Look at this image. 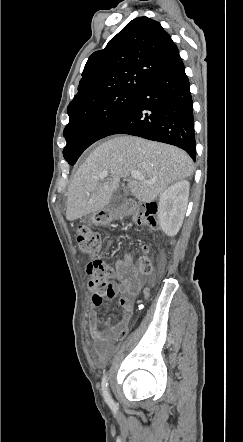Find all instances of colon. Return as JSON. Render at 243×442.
<instances>
[{
  "label": "colon",
  "instance_id": "colon-1",
  "mask_svg": "<svg viewBox=\"0 0 243 442\" xmlns=\"http://www.w3.org/2000/svg\"><path fill=\"white\" fill-rule=\"evenodd\" d=\"M133 221L136 225H145L152 228L158 226V206L156 203H147L133 207ZM77 242L79 250L90 257L87 265L88 289L94 298V302L99 305L105 299L114 296V290L109 282L112 274L111 268L104 261L100 253V236L86 225H80L77 230ZM145 255L139 258L138 268L142 274L148 275L151 272V261L147 254L149 247L144 246ZM127 331L123 325L115 336H124Z\"/></svg>",
  "mask_w": 243,
  "mask_h": 442
}]
</instances>
